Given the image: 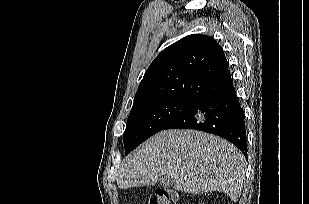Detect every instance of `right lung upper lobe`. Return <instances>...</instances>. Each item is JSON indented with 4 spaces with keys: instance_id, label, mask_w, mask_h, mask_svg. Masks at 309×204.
<instances>
[{
    "instance_id": "obj_1",
    "label": "right lung upper lobe",
    "mask_w": 309,
    "mask_h": 204,
    "mask_svg": "<svg viewBox=\"0 0 309 204\" xmlns=\"http://www.w3.org/2000/svg\"><path fill=\"white\" fill-rule=\"evenodd\" d=\"M232 84L223 49L210 36H186L163 50L138 87L134 104L160 98L201 100Z\"/></svg>"
}]
</instances>
